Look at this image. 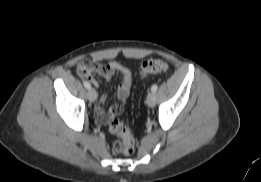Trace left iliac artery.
Listing matches in <instances>:
<instances>
[{
	"label": "left iliac artery",
	"mask_w": 261,
	"mask_h": 182,
	"mask_svg": "<svg viewBox=\"0 0 261 182\" xmlns=\"http://www.w3.org/2000/svg\"><path fill=\"white\" fill-rule=\"evenodd\" d=\"M157 89H158L157 84H153L152 87H151L152 92H156Z\"/></svg>",
	"instance_id": "obj_1"
}]
</instances>
